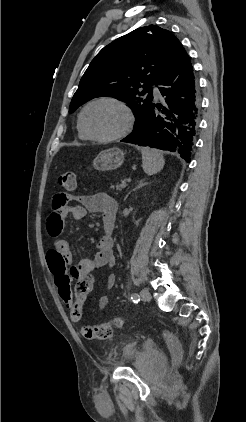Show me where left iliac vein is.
<instances>
[{"label":"left iliac vein","mask_w":246,"mask_h":422,"mask_svg":"<svg viewBox=\"0 0 246 422\" xmlns=\"http://www.w3.org/2000/svg\"><path fill=\"white\" fill-rule=\"evenodd\" d=\"M140 296H141V299L145 302L151 300V294L148 290H145V289L141 290Z\"/></svg>","instance_id":"4c4485c4"}]
</instances>
